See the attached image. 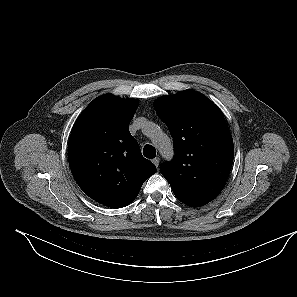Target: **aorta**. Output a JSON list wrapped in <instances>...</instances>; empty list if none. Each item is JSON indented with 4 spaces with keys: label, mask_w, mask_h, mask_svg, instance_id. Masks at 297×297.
Returning <instances> with one entry per match:
<instances>
[{
    "label": "aorta",
    "mask_w": 297,
    "mask_h": 297,
    "mask_svg": "<svg viewBox=\"0 0 297 297\" xmlns=\"http://www.w3.org/2000/svg\"><path fill=\"white\" fill-rule=\"evenodd\" d=\"M145 128L150 134L155 133L157 135L155 138V144L160 152L168 154L172 151L171 139L165 133H163L156 124L149 122Z\"/></svg>",
    "instance_id": "1"
}]
</instances>
